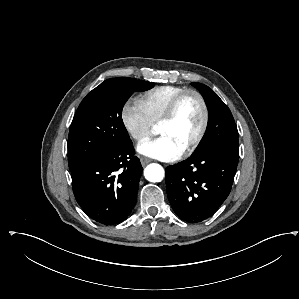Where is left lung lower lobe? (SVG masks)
<instances>
[{"mask_svg": "<svg viewBox=\"0 0 299 299\" xmlns=\"http://www.w3.org/2000/svg\"><path fill=\"white\" fill-rule=\"evenodd\" d=\"M238 164V154L210 150L170 165L166 170L167 195L182 220L207 219L227 198Z\"/></svg>", "mask_w": 299, "mask_h": 299, "instance_id": "1", "label": "left lung lower lobe"}]
</instances>
